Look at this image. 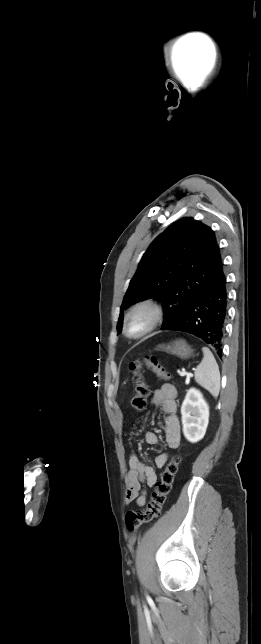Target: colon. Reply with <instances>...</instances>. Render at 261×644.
<instances>
[{
  "mask_svg": "<svg viewBox=\"0 0 261 644\" xmlns=\"http://www.w3.org/2000/svg\"><path fill=\"white\" fill-rule=\"evenodd\" d=\"M130 369L133 373L135 385V394L132 397L131 406L135 410H142L145 408L147 399L150 395L149 386L147 385L143 376L144 369H148L154 372L158 377L164 380L170 378V373L154 355L146 356L142 360L131 363ZM179 463V455L173 456L167 463L166 467L160 475L159 481H157L154 485V490L150 502L144 510H131L126 513L125 523L129 531H135L142 524L151 522L161 515L162 508L168 494L171 491L175 475L178 471Z\"/></svg>",
  "mask_w": 261,
  "mask_h": 644,
  "instance_id": "5ec220e1",
  "label": "colon"
}]
</instances>
